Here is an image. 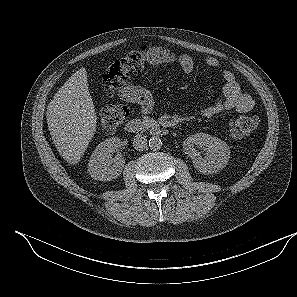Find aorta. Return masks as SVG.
Instances as JSON below:
<instances>
[{"label": "aorta", "instance_id": "aorta-1", "mask_svg": "<svg viewBox=\"0 0 297 297\" xmlns=\"http://www.w3.org/2000/svg\"><path fill=\"white\" fill-rule=\"evenodd\" d=\"M162 144V140L157 136L151 137L149 140V147L154 151L161 149Z\"/></svg>", "mask_w": 297, "mask_h": 297}]
</instances>
